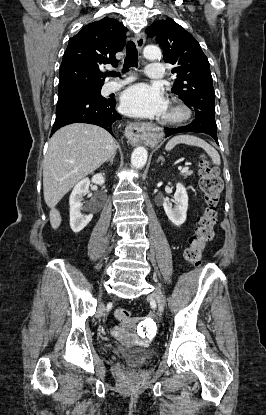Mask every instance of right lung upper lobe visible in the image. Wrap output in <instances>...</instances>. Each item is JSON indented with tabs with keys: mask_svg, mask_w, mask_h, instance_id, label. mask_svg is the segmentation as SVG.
<instances>
[{
	"mask_svg": "<svg viewBox=\"0 0 266 415\" xmlns=\"http://www.w3.org/2000/svg\"><path fill=\"white\" fill-rule=\"evenodd\" d=\"M127 29L105 17L90 23L71 38L60 67L58 94L102 87L104 64L117 66L115 54L124 48Z\"/></svg>",
	"mask_w": 266,
	"mask_h": 415,
	"instance_id": "obj_1",
	"label": "right lung upper lobe"
}]
</instances>
